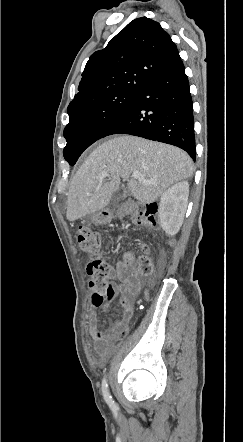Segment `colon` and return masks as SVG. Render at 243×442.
Wrapping results in <instances>:
<instances>
[{
    "label": "colon",
    "mask_w": 243,
    "mask_h": 442,
    "mask_svg": "<svg viewBox=\"0 0 243 442\" xmlns=\"http://www.w3.org/2000/svg\"><path fill=\"white\" fill-rule=\"evenodd\" d=\"M158 205L148 203L131 208L132 222L137 226H148L157 228L159 225ZM78 245L82 252L89 256L87 264V275L89 278V289L92 294L93 304L101 306L106 300H111L114 290L109 280L113 274L112 268L108 265L104 255L100 250V236L86 226H80L78 230ZM142 255L136 261L137 268L143 276H148L152 272V261L150 254L151 247L143 244ZM131 254L125 255L127 263L132 262ZM118 331L114 336L123 337L128 332V321L117 323Z\"/></svg>",
    "instance_id": "obj_1"
}]
</instances>
